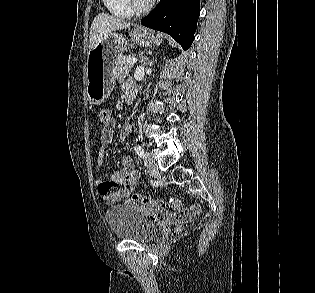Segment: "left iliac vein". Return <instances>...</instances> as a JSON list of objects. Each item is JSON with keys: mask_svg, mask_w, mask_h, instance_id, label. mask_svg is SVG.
I'll list each match as a JSON object with an SVG mask.
<instances>
[{"mask_svg": "<svg viewBox=\"0 0 315 293\" xmlns=\"http://www.w3.org/2000/svg\"><path fill=\"white\" fill-rule=\"evenodd\" d=\"M144 165L147 168L149 173L156 174L158 172L157 163L148 152H146L145 157H144Z\"/></svg>", "mask_w": 315, "mask_h": 293, "instance_id": "left-iliac-vein-1", "label": "left iliac vein"}]
</instances>
